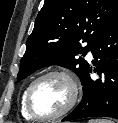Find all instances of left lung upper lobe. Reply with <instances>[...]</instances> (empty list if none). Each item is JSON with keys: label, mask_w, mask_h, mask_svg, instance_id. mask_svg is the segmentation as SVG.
Segmentation results:
<instances>
[{"label": "left lung upper lobe", "mask_w": 118, "mask_h": 123, "mask_svg": "<svg viewBox=\"0 0 118 123\" xmlns=\"http://www.w3.org/2000/svg\"><path fill=\"white\" fill-rule=\"evenodd\" d=\"M118 18V0H46L27 39L17 80L34 71L59 65L82 81L89 64L83 56ZM87 42L82 47L80 41Z\"/></svg>", "instance_id": "5c2ea615"}]
</instances>
